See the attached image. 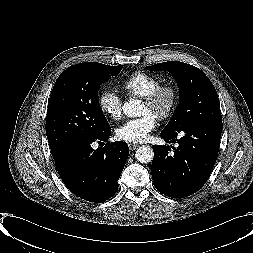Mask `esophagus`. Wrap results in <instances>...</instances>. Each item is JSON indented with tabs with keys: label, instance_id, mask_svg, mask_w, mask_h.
<instances>
[{
	"label": "esophagus",
	"instance_id": "esophagus-1",
	"mask_svg": "<svg viewBox=\"0 0 253 253\" xmlns=\"http://www.w3.org/2000/svg\"><path fill=\"white\" fill-rule=\"evenodd\" d=\"M128 146L131 151H134L135 149L139 147L138 144H134V143H129Z\"/></svg>",
	"mask_w": 253,
	"mask_h": 253
}]
</instances>
